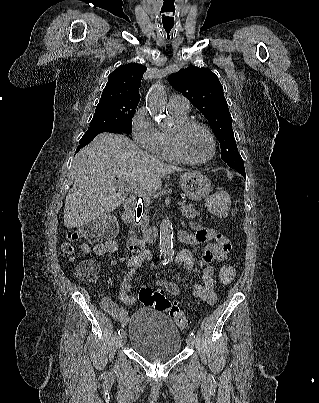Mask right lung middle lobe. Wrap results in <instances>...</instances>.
Segmentation results:
<instances>
[{
    "label": "right lung middle lobe",
    "instance_id": "dd1d6c3e",
    "mask_svg": "<svg viewBox=\"0 0 319 403\" xmlns=\"http://www.w3.org/2000/svg\"><path fill=\"white\" fill-rule=\"evenodd\" d=\"M137 106L121 103L98 104L90 123V129L121 128L131 133L132 118Z\"/></svg>",
    "mask_w": 319,
    "mask_h": 403
}]
</instances>
